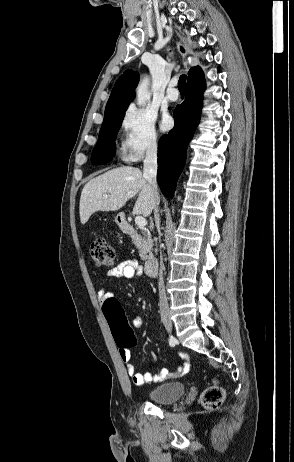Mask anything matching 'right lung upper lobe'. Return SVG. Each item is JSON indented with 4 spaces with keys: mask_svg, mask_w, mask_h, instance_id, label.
Masks as SVG:
<instances>
[{
    "mask_svg": "<svg viewBox=\"0 0 294 462\" xmlns=\"http://www.w3.org/2000/svg\"><path fill=\"white\" fill-rule=\"evenodd\" d=\"M201 74H203V71L200 67H192L188 72V81ZM138 82V73L132 72L131 70L124 72V74L119 77L107 102L104 118L126 111L129 106V101H132L134 98L133 91Z\"/></svg>",
    "mask_w": 294,
    "mask_h": 462,
    "instance_id": "1",
    "label": "right lung upper lobe"
}]
</instances>
